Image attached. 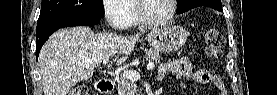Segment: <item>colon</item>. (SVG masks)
<instances>
[{"mask_svg": "<svg viewBox=\"0 0 277 95\" xmlns=\"http://www.w3.org/2000/svg\"><path fill=\"white\" fill-rule=\"evenodd\" d=\"M202 38L205 51L208 55L219 57L225 45V39L215 28H205L202 30ZM71 95H88V90L84 86H77L70 92Z\"/></svg>", "mask_w": 277, "mask_h": 95, "instance_id": "1", "label": "colon"}]
</instances>
